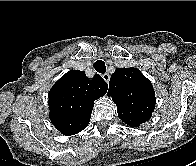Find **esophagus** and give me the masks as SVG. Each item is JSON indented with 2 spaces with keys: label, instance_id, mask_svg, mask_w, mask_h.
Listing matches in <instances>:
<instances>
[{
  "label": "esophagus",
  "instance_id": "esophagus-1",
  "mask_svg": "<svg viewBox=\"0 0 196 166\" xmlns=\"http://www.w3.org/2000/svg\"><path fill=\"white\" fill-rule=\"evenodd\" d=\"M102 78H103L107 83H109V81H110V75H109L108 73L103 74V75H102Z\"/></svg>",
  "mask_w": 196,
  "mask_h": 166
}]
</instances>
